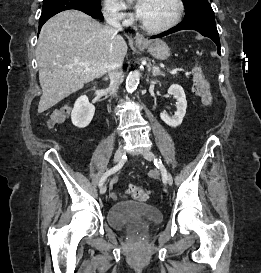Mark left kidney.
I'll return each instance as SVG.
<instances>
[{
  "label": "left kidney",
  "mask_w": 261,
  "mask_h": 273,
  "mask_svg": "<svg viewBox=\"0 0 261 273\" xmlns=\"http://www.w3.org/2000/svg\"><path fill=\"white\" fill-rule=\"evenodd\" d=\"M168 94L172 95L177 100L176 102L177 110L172 117L168 116L165 112H162L160 113V118L168 126L175 128L182 123L183 118L186 114L187 108L186 96L184 89L178 84L171 85L168 89Z\"/></svg>",
  "instance_id": "1"
}]
</instances>
